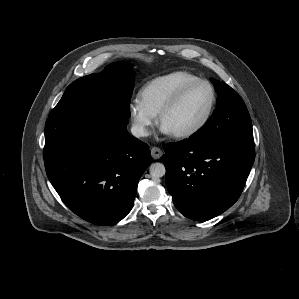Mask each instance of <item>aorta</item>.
<instances>
[{
  "label": "aorta",
  "mask_w": 299,
  "mask_h": 299,
  "mask_svg": "<svg viewBox=\"0 0 299 299\" xmlns=\"http://www.w3.org/2000/svg\"><path fill=\"white\" fill-rule=\"evenodd\" d=\"M149 172L153 178H160L165 175L166 169L162 163L157 162L150 165Z\"/></svg>",
  "instance_id": "obj_1"
}]
</instances>
